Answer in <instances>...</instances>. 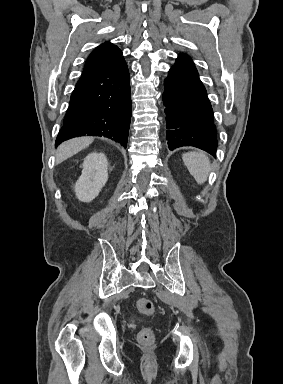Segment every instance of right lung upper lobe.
I'll return each instance as SVG.
<instances>
[{"label": "right lung upper lobe", "mask_w": 283, "mask_h": 384, "mask_svg": "<svg viewBox=\"0 0 283 384\" xmlns=\"http://www.w3.org/2000/svg\"><path fill=\"white\" fill-rule=\"evenodd\" d=\"M124 62L121 50L105 42L95 48L86 60L82 75L100 72L114 68Z\"/></svg>", "instance_id": "obj_1"}]
</instances>
